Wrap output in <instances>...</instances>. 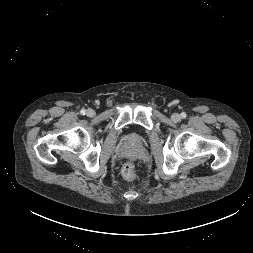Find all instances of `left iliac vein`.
Listing matches in <instances>:
<instances>
[{"mask_svg": "<svg viewBox=\"0 0 253 253\" xmlns=\"http://www.w3.org/2000/svg\"><path fill=\"white\" fill-rule=\"evenodd\" d=\"M171 118L173 121L178 122V121H180L181 116L178 113H174V114H172Z\"/></svg>", "mask_w": 253, "mask_h": 253, "instance_id": "obj_1", "label": "left iliac vein"}]
</instances>
